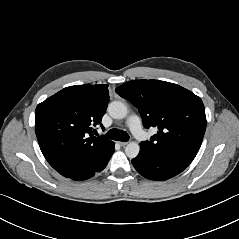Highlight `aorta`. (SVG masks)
Instances as JSON below:
<instances>
[{"instance_id": "aorta-1", "label": "aorta", "mask_w": 239, "mask_h": 239, "mask_svg": "<svg viewBox=\"0 0 239 239\" xmlns=\"http://www.w3.org/2000/svg\"><path fill=\"white\" fill-rule=\"evenodd\" d=\"M108 112L115 119H123L127 116V106L121 101H113L108 105ZM140 151V146L136 142H129L125 148L126 155L133 159L137 157Z\"/></svg>"}]
</instances>
